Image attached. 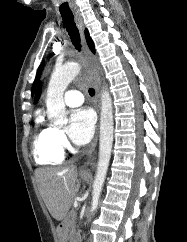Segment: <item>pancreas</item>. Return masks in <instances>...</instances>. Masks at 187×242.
<instances>
[{
	"label": "pancreas",
	"instance_id": "obj_1",
	"mask_svg": "<svg viewBox=\"0 0 187 242\" xmlns=\"http://www.w3.org/2000/svg\"><path fill=\"white\" fill-rule=\"evenodd\" d=\"M76 219H77L76 212L72 210L64 220V226L67 227L71 233H75V230L77 227Z\"/></svg>",
	"mask_w": 187,
	"mask_h": 242
}]
</instances>
